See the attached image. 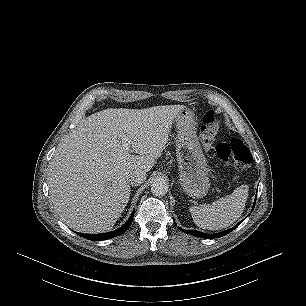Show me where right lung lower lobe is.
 <instances>
[{
  "mask_svg": "<svg viewBox=\"0 0 306 306\" xmlns=\"http://www.w3.org/2000/svg\"><path fill=\"white\" fill-rule=\"evenodd\" d=\"M133 216H134V213L132 214V216L129 218V220L122 227H120L119 229H117L113 232L97 234V235H89V234L78 233V235L83 237V238H86L88 240H94V241H101V240H106V239H110V238L119 236V235L123 234L124 232H126L128 230V228L130 227V225L133 221Z\"/></svg>",
  "mask_w": 306,
  "mask_h": 306,
  "instance_id": "obj_1",
  "label": "right lung lower lobe"
}]
</instances>
